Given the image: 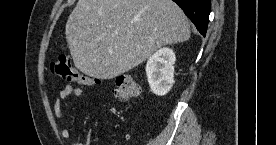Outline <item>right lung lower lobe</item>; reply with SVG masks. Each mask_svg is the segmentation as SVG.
Segmentation results:
<instances>
[{
    "label": "right lung lower lobe",
    "mask_w": 276,
    "mask_h": 145,
    "mask_svg": "<svg viewBox=\"0 0 276 145\" xmlns=\"http://www.w3.org/2000/svg\"><path fill=\"white\" fill-rule=\"evenodd\" d=\"M187 17L195 24L197 30L206 35L211 0H173Z\"/></svg>",
    "instance_id": "right-lung-lower-lobe-1"
}]
</instances>
